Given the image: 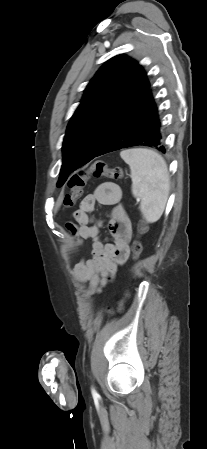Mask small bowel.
I'll return each mask as SVG.
<instances>
[{
	"label": "small bowel",
	"mask_w": 207,
	"mask_h": 449,
	"mask_svg": "<svg viewBox=\"0 0 207 449\" xmlns=\"http://www.w3.org/2000/svg\"><path fill=\"white\" fill-rule=\"evenodd\" d=\"M121 201L122 191L119 186L111 182L102 183L82 200L79 209L73 213L74 222L66 224L79 249L83 248L84 240L93 241L91 259L81 258L67 266L75 283H88V293L99 292L129 258L132 228L128 212ZM97 204L113 207L109 221L113 242L101 240V222L92 224L91 214Z\"/></svg>",
	"instance_id": "small-bowel-1"
}]
</instances>
